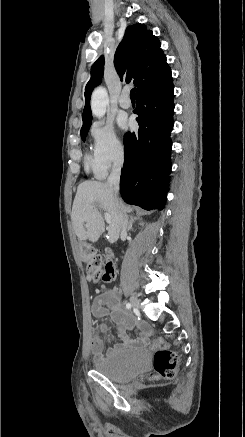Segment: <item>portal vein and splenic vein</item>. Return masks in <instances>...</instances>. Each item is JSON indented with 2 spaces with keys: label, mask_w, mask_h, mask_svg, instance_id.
Masks as SVG:
<instances>
[{
  "label": "portal vein and splenic vein",
  "mask_w": 245,
  "mask_h": 437,
  "mask_svg": "<svg viewBox=\"0 0 245 437\" xmlns=\"http://www.w3.org/2000/svg\"><path fill=\"white\" fill-rule=\"evenodd\" d=\"M104 217H105V220H106L107 223L111 222V218H110L109 214L105 213Z\"/></svg>",
  "instance_id": "1"
}]
</instances>
